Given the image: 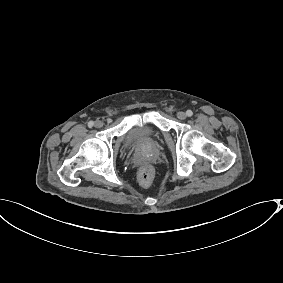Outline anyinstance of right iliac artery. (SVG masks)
<instances>
[{"instance_id":"82829eb1","label":"right iliac artery","mask_w":283,"mask_h":283,"mask_svg":"<svg viewBox=\"0 0 283 283\" xmlns=\"http://www.w3.org/2000/svg\"><path fill=\"white\" fill-rule=\"evenodd\" d=\"M93 125H94V122H93V121H89V122H88V126H89V127H93Z\"/></svg>"}]
</instances>
